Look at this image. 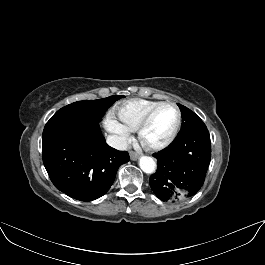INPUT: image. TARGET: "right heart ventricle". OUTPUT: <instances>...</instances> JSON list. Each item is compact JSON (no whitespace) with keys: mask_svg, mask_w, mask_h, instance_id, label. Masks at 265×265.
I'll return each mask as SVG.
<instances>
[{"mask_svg":"<svg viewBox=\"0 0 265 265\" xmlns=\"http://www.w3.org/2000/svg\"><path fill=\"white\" fill-rule=\"evenodd\" d=\"M158 103L160 101L132 98L117 103L113 108V114L129 132L135 131L143 116Z\"/></svg>","mask_w":265,"mask_h":265,"instance_id":"obj_1","label":"right heart ventricle"}]
</instances>
